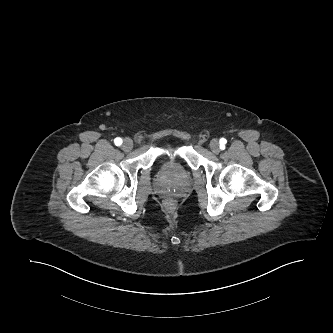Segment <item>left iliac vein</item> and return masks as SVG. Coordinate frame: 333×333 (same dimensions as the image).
<instances>
[{
    "mask_svg": "<svg viewBox=\"0 0 333 333\" xmlns=\"http://www.w3.org/2000/svg\"><path fill=\"white\" fill-rule=\"evenodd\" d=\"M210 149L214 154H218L220 152L219 142L216 139H212L210 144Z\"/></svg>",
    "mask_w": 333,
    "mask_h": 333,
    "instance_id": "left-iliac-vein-1",
    "label": "left iliac vein"
}]
</instances>
